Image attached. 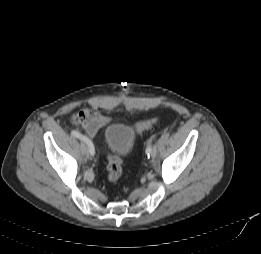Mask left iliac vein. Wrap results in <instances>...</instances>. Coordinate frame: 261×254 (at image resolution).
Wrapping results in <instances>:
<instances>
[{
    "mask_svg": "<svg viewBox=\"0 0 261 254\" xmlns=\"http://www.w3.org/2000/svg\"><path fill=\"white\" fill-rule=\"evenodd\" d=\"M156 153H157L156 148H154L153 151H152V157H155Z\"/></svg>",
    "mask_w": 261,
    "mask_h": 254,
    "instance_id": "4c4485c4",
    "label": "left iliac vein"
}]
</instances>
